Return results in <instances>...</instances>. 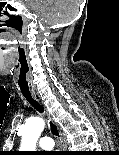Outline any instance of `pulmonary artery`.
<instances>
[{
	"instance_id": "e3ab8cb5",
	"label": "pulmonary artery",
	"mask_w": 119,
	"mask_h": 155,
	"mask_svg": "<svg viewBox=\"0 0 119 155\" xmlns=\"http://www.w3.org/2000/svg\"><path fill=\"white\" fill-rule=\"evenodd\" d=\"M38 145L42 149L50 150L54 147V141L51 137L44 136V137L40 138V140L38 141Z\"/></svg>"
}]
</instances>
